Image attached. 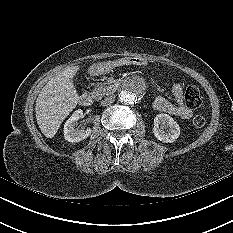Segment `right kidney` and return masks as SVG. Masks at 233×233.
Instances as JSON below:
<instances>
[{"instance_id": "ca27d5eb", "label": "right kidney", "mask_w": 233, "mask_h": 233, "mask_svg": "<svg viewBox=\"0 0 233 233\" xmlns=\"http://www.w3.org/2000/svg\"><path fill=\"white\" fill-rule=\"evenodd\" d=\"M83 116V111L78 109L73 112L64 125V138L69 142H79L86 139L91 134V129H76L77 121Z\"/></svg>"}]
</instances>
